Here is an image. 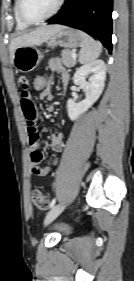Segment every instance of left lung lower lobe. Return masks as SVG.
Segmentation results:
<instances>
[{
	"instance_id": "left-lung-lower-lobe-1",
	"label": "left lung lower lobe",
	"mask_w": 134,
	"mask_h": 281,
	"mask_svg": "<svg viewBox=\"0 0 134 281\" xmlns=\"http://www.w3.org/2000/svg\"><path fill=\"white\" fill-rule=\"evenodd\" d=\"M113 0H67L49 24H62L96 36L109 52L112 50Z\"/></svg>"
}]
</instances>
